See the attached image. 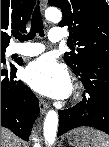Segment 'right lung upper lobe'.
<instances>
[{
    "label": "right lung upper lobe",
    "instance_id": "cb5924a9",
    "mask_svg": "<svg viewBox=\"0 0 109 147\" xmlns=\"http://www.w3.org/2000/svg\"><path fill=\"white\" fill-rule=\"evenodd\" d=\"M35 0H1V48L10 43L8 32H24Z\"/></svg>",
    "mask_w": 109,
    "mask_h": 147
}]
</instances>
